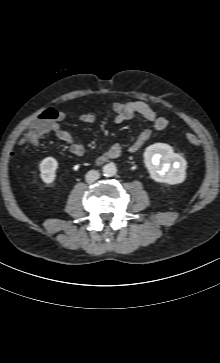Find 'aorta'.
I'll use <instances>...</instances> for the list:
<instances>
[{"instance_id":"762f6f07","label":"aorta","mask_w":220,"mask_h":363,"mask_svg":"<svg viewBox=\"0 0 220 363\" xmlns=\"http://www.w3.org/2000/svg\"><path fill=\"white\" fill-rule=\"evenodd\" d=\"M117 168L115 164L108 163L103 167V174L107 177H112L116 174Z\"/></svg>"}]
</instances>
